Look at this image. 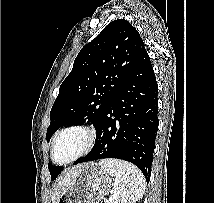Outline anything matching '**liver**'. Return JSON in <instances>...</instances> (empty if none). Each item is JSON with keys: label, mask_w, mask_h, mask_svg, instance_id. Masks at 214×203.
<instances>
[{"label": "liver", "mask_w": 214, "mask_h": 203, "mask_svg": "<svg viewBox=\"0 0 214 203\" xmlns=\"http://www.w3.org/2000/svg\"><path fill=\"white\" fill-rule=\"evenodd\" d=\"M82 164L68 168L65 172L56 180L54 185V190L52 193V203H57L62 192H64L68 187H70L75 180L78 170L81 168Z\"/></svg>", "instance_id": "obj_1"}]
</instances>
